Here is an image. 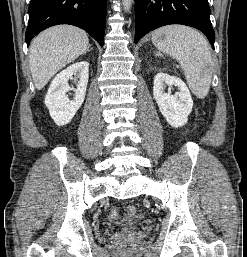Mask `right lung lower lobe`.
<instances>
[{
    "label": "right lung lower lobe",
    "instance_id": "obj_1",
    "mask_svg": "<svg viewBox=\"0 0 247 257\" xmlns=\"http://www.w3.org/2000/svg\"><path fill=\"white\" fill-rule=\"evenodd\" d=\"M106 9L107 0H31L27 46L39 32L58 24L82 28L103 46Z\"/></svg>",
    "mask_w": 247,
    "mask_h": 257
}]
</instances>
